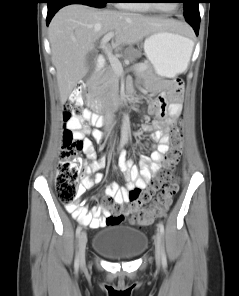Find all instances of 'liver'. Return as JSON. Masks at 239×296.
I'll return each instance as SVG.
<instances>
[{
  "label": "liver",
  "mask_w": 239,
  "mask_h": 296,
  "mask_svg": "<svg viewBox=\"0 0 239 296\" xmlns=\"http://www.w3.org/2000/svg\"><path fill=\"white\" fill-rule=\"evenodd\" d=\"M186 27L175 20L139 13L98 9L82 4L61 8L49 25L52 62L56 68L60 100L64 103L77 83L87 75L86 58L95 42L115 32L112 47L134 45L152 33Z\"/></svg>",
  "instance_id": "obj_1"
}]
</instances>
